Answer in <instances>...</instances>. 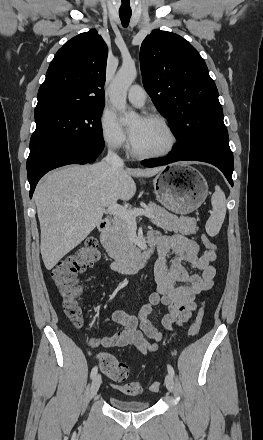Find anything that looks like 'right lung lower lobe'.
I'll list each match as a JSON object with an SVG mask.
<instances>
[{
	"label": "right lung lower lobe",
	"mask_w": 263,
	"mask_h": 440,
	"mask_svg": "<svg viewBox=\"0 0 263 440\" xmlns=\"http://www.w3.org/2000/svg\"><path fill=\"white\" fill-rule=\"evenodd\" d=\"M104 148V143L77 144L73 147L53 151L40 163L27 169L30 183V198L38 181L50 170L69 164H86L96 160Z\"/></svg>",
	"instance_id": "obj_1"
}]
</instances>
